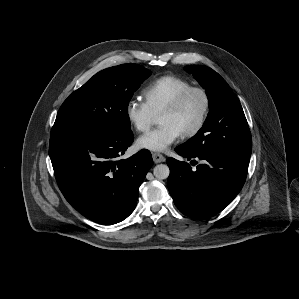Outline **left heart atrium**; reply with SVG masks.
I'll list each match as a JSON object with an SVG mask.
<instances>
[{"label": "left heart atrium", "instance_id": "obj_1", "mask_svg": "<svg viewBox=\"0 0 299 299\" xmlns=\"http://www.w3.org/2000/svg\"><path fill=\"white\" fill-rule=\"evenodd\" d=\"M181 134L176 126L165 124L140 136L136 141V145L140 149L161 152L178 140Z\"/></svg>", "mask_w": 299, "mask_h": 299}]
</instances>
